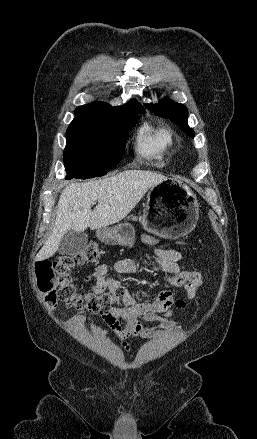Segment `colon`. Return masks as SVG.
Returning <instances> with one entry per match:
<instances>
[{
    "mask_svg": "<svg viewBox=\"0 0 257 439\" xmlns=\"http://www.w3.org/2000/svg\"><path fill=\"white\" fill-rule=\"evenodd\" d=\"M99 249L95 244L87 245L75 255H62L55 260H45L36 265L37 286L44 297L45 304L54 308L59 302L78 310H87L100 315L106 314L114 305H123L127 294L123 287L115 291L80 292L72 277L75 266L95 262ZM168 281L175 287L204 284V275L200 272L183 270Z\"/></svg>",
    "mask_w": 257,
    "mask_h": 439,
    "instance_id": "5ec220e1",
    "label": "colon"
}]
</instances>
